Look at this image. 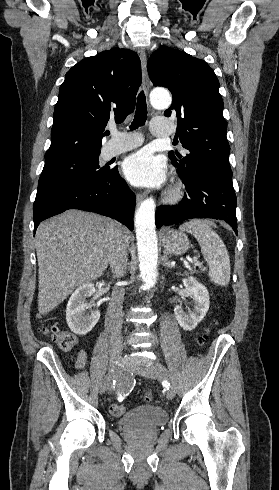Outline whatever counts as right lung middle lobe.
I'll return each instance as SVG.
<instances>
[{
	"instance_id": "1",
	"label": "right lung middle lobe",
	"mask_w": 279,
	"mask_h": 490,
	"mask_svg": "<svg viewBox=\"0 0 279 490\" xmlns=\"http://www.w3.org/2000/svg\"><path fill=\"white\" fill-rule=\"evenodd\" d=\"M114 168L109 166L101 167L99 165V154L45 163L39 178L38 188L46 185H60L105 178Z\"/></svg>"
}]
</instances>
